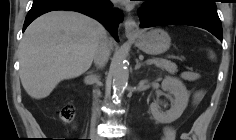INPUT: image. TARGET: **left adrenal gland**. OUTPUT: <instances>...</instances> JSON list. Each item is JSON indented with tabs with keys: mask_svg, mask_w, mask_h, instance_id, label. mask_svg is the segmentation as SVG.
Segmentation results:
<instances>
[{
	"mask_svg": "<svg viewBox=\"0 0 236 140\" xmlns=\"http://www.w3.org/2000/svg\"><path fill=\"white\" fill-rule=\"evenodd\" d=\"M143 63H140L138 59H136V66H135V70L140 69L141 66H143Z\"/></svg>",
	"mask_w": 236,
	"mask_h": 140,
	"instance_id": "obj_1",
	"label": "left adrenal gland"
}]
</instances>
